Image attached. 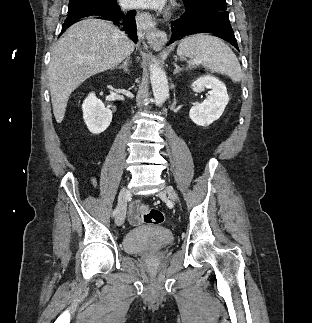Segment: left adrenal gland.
Segmentation results:
<instances>
[{"label":"left adrenal gland","mask_w":312,"mask_h":323,"mask_svg":"<svg viewBox=\"0 0 312 323\" xmlns=\"http://www.w3.org/2000/svg\"><path fill=\"white\" fill-rule=\"evenodd\" d=\"M173 66H175V70H174L173 74H178V72H180V70H181L180 66H177V64H173Z\"/></svg>","instance_id":"left-adrenal-gland-1"}]
</instances>
